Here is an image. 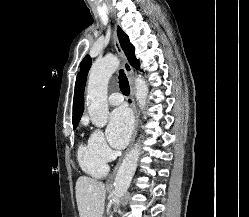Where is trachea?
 Instances as JSON below:
<instances>
[{
    "instance_id": "3493384b",
    "label": "trachea",
    "mask_w": 249,
    "mask_h": 217,
    "mask_svg": "<svg viewBox=\"0 0 249 217\" xmlns=\"http://www.w3.org/2000/svg\"><path fill=\"white\" fill-rule=\"evenodd\" d=\"M118 78H119V85L121 92L126 96L129 95L130 93L129 82L123 70L119 71Z\"/></svg>"
}]
</instances>
